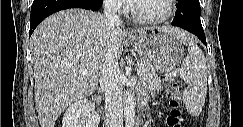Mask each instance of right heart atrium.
I'll use <instances>...</instances> for the list:
<instances>
[{
  "mask_svg": "<svg viewBox=\"0 0 243 127\" xmlns=\"http://www.w3.org/2000/svg\"><path fill=\"white\" fill-rule=\"evenodd\" d=\"M105 5L108 9L113 12L120 11L122 9V1L121 0H105Z\"/></svg>",
  "mask_w": 243,
  "mask_h": 127,
  "instance_id": "obj_1",
  "label": "right heart atrium"
}]
</instances>
